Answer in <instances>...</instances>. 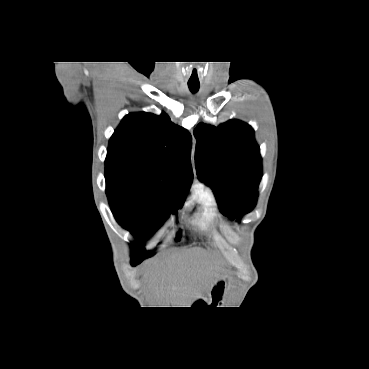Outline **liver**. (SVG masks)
Listing matches in <instances>:
<instances>
[{
  "label": "liver",
  "instance_id": "1",
  "mask_svg": "<svg viewBox=\"0 0 369 369\" xmlns=\"http://www.w3.org/2000/svg\"><path fill=\"white\" fill-rule=\"evenodd\" d=\"M216 260L200 248L178 252L160 266L145 274L156 305H176L177 301L209 285L218 277L215 273ZM168 307V306H159Z\"/></svg>",
  "mask_w": 369,
  "mask_h": 369
}]
</instances>
